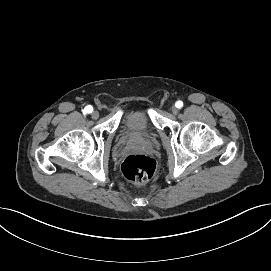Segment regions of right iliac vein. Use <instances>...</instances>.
Wrapping results in <instances>:
<instances>
[{"label":"right iliac vein","mask_w":271,"mask_h":271,"mask_svg":"<svg viewBox=\"0 0 271 271\" xmlns=\"http://www.w3.org/2000/svg\"><path fill=\"white\" fill-rule=\"evenodd\" d=\"M91 117H92L93 119H97V118L99 117V112H98V111H93V112L91 113Z\"/></svg>","instance_id":"obj_1"}]
</instances>
